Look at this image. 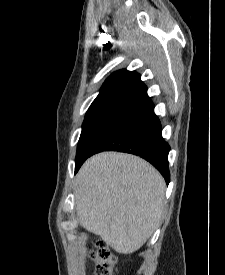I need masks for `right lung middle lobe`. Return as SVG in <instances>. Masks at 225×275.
I'll return each instance as SVG.
<instances>
[{"mask_svg": "<svg viewBox=\"0 0 225 275\" xmlns=\"http://www.w3.org/2000/svg\"><path fill=\"white\" fill-rule=\"evenodd\" d=\"M126 117L119 114H105L85 118L77 147L75 173L100 140Z\"/></svg>", "mask_w": 225, "mask_h": 275, "instance_id": "obj_1", "label": "right lung middle lobe"}]
</instances>
